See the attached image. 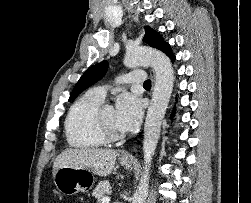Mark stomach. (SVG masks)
Listing matches in <instances>:
<instances>
[{
	"label": "stomach",
	"mask_w": 251,
	"mask_h": 203,
	"mask_svg": "<svg viewBox=\"0 0 251 203\" xmlns=\"http://www.w3.org/2000/svg\"><path fill=\"white\" fill-rule=\"evenodd\" d=\"M120 164L129 169L133 165L132 160H120ZM95 178L92 172L83 168L62 167L57 170L54 176L56 188L65 195H72L77 192H88Z\"/></svg>",
	"instance_id": "0dacf381"
}]
</instances>
